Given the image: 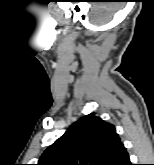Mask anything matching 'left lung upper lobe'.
<instances>
[{
  "mask_svg": "<svg viewBox=\"0 0 154 165\" xmlns=\"http://www.w3.org/2000/svg\"><path fill=\"white\" fill-rule=\"evenodd\" d=\"M123 146L114 125L91 113L49 146L37 165H114Z\"/></svg>",
  "mask_w": 154,
  "mask_h": 165,
  "instance_id": "obj_1",
  "label": "left lung upper lobe"
}]
</instances>
